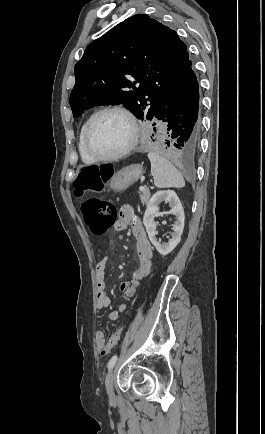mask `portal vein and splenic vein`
Listing matches in <instances>:
<instances>
[{
  "label": "portal vein and splenic vein",
  "instance_id": "obj_1",
  "mask_svg": "<svg viewBox=\"0 0 265 434\" xmlns=\"http://www.w3.org/2000/svg\"><path fill=\"white\" fill-rule=\"evenodd\" d=\"M139 190H141V192H143V190H144L143 186H140Z\"/></svg>",
  "mask_w": 265,
  "mask_h": 434
}]
</instances>
